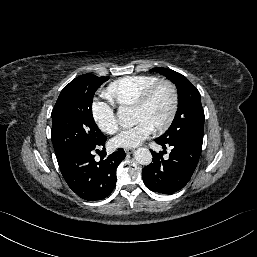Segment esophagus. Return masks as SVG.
Masks as SVG:
<instances>
[{"instance_id": "34e87169", "label": "esophagus", "mask_w": 257, "mask_h": 257, "mask_svg": "<svg viewBox=\"0 0 257 257\" xmlns=\"http://www.w3.org/2000/svg\"><path fill=\"white\" fill-rule=\"evenodd\" d=\"M125 152H126L127 155H130V154L133 153V149L127 148V149H125Z\"/></svg>"}]
</instances>
